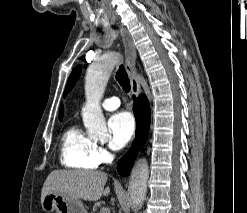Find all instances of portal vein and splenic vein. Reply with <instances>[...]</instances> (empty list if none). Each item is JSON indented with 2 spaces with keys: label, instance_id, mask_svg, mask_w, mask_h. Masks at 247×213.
Returning <instances> with one entry per match:
<instances>
[{
  "label": "portal vein and splenic vein",
  "instance_id": "1",
  "mask_svg": "<svg viewBox=\"0 0 247 213\" xmlns=\"http://www.w3.org/2000/svg\"><path fill=\"white\" fill-rule=\"evenodd\" d=\"M100 213H110V210H109V208H107V207H103V208L100 210Z\"/></svg>",
  "mask_w": 247,
  "mask_h": 213
}]
</instances>
